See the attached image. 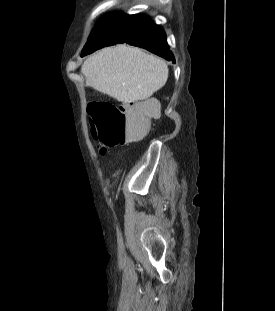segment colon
Returning a JSON list of instances; mask_svg holds the SVG:
<instances>
[{
    "mask_svg": "<svg viewBox=\"0 0 275 311\" xmlns=\"http://www.w3.org/2000/svg\"><path fill=\"white\" fill-rule=\"evenodd\" d=\"M91 134L99 142V152L129 141L143 138L150 121L159 117L156 105L150 102L116 106L106 101H95L88 106Z\"/></svg>",
    "mask_w": 275,
    "mask_h": 311,
    "instance_id": "1",
    "label": "colon"
}]
</instances>
